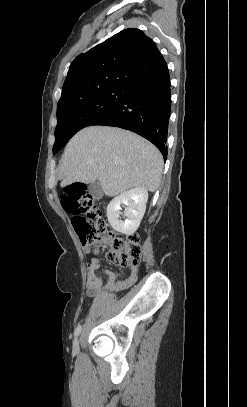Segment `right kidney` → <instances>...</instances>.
Masks as SVG:
<instances>
[{
  "label": "right kidney",
  "mask_w": 247,
  "mask_h": 407,
  "mask_svg": "<svg viewBox=\"0 0 247 407\" xmlns=\"http://www.w3.org/2000/svg\"><path fill=\"white\" fill-rule=\"evenodd\" d=\"M148 191L136 187L115 197L107 206V218L111 227L125 235L133 234L139 227L146 210ZM121 206H126L121 212ZM125 217L120 219V215Z\"/></svg>",
  "instance_id": "ca27d5eb"
}]
</instances>
